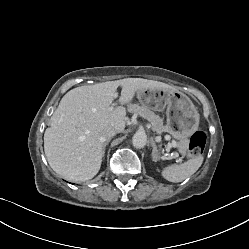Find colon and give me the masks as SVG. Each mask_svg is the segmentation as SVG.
<instances>
[{
    "label": "colon",
    "instance_id": "5ec220e1",
    "mask_svg": "<svg viewBox=\"0 0 249 249\" xmlns=\"http://www.w3.org/2000/svg\"><path fill=\"white\" fill-rule=\"evenodd\" d=\"M206 134L202 131L195 132L189 140V152L191 155L200 154L206 145Z\"/></svg>",
    "mask_w": 249,
    "mask_h": 249
}]
</instances>
